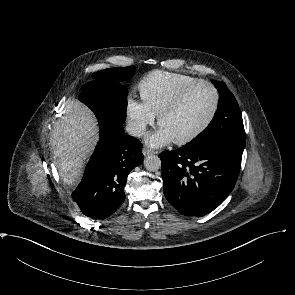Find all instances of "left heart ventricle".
Masks as SVG:
<instances>
[{"label": "left heart ventricle", "instance_id": "left-heart-ventricle-1", "mask_svg": "<svg viewBox=\"0 0 295 295\" xmlns=\"http://www.w3.org/2000/svg\"><path fill=\"white\" fill-rule=\"evenodd\" d=\"M214 94L206 85L195 87L180 107L161 122L175 140L185 138L199 129L209 118L214 107Z\"/></svg>", "mask_w": 295, "mask_h": 295}]
</instances>
